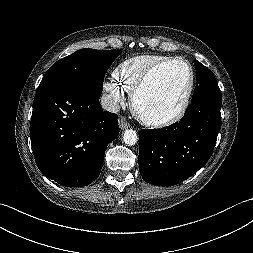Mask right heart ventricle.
<instances>
[{"label":"right heart ventricle","mask_w":253,"mask_h":253,"mask_svg":"<svg viewBox=\"0 0 253 253\" xmlns=\"http://www.w3.org/2000/svg\"><path fill=\"white\" fill-rule=\"evenodd\" d=\"M161 54H142L122 61L113 71L114 84L123 92L131 94L144 72L153 64L169 59Z\"/></svg>","instance_id":"obj_1"}]
</instances>
